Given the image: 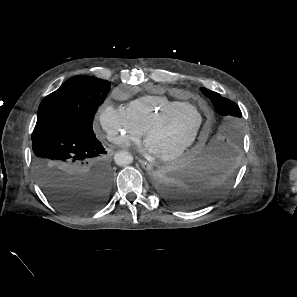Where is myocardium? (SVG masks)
Listing matches in <instances>:
<instances>
[{"label": "myocardium", "instance_id": "f54148a6", "mask_svg": "<svg viewBox=\"0 0 297 297\" xmlns=\"http://www.w3.org/2000/svg\"><path fill=\"white\" fill-rule=\"evenodd\" d=\"M186 108H191L194 109L195 111L198 112L199 114V124L194 132V134L190 137V139H188L184 144H182L179 148H177L176 150L161 154V155H157L158 158L161 161L167 162V161H172L174 159L179 158L180 156H182L190 147H192L198 140L199 136H200V132L202 130L203 124H204V114L203 112L197 108L196 106L190 104V103H185L182 104L178 107H174V108H169L166 109L164 111H162L161 113L157 114L150 122L149 124L145 127L144 131H143V135L145 140L147 141L149 134L156 128H158L159 126H161L168 118H170L171 116L181 112L182 110L186 109Z\"/></svg>", "mask_w": 297, "mask_h": 297}]
</instances>
